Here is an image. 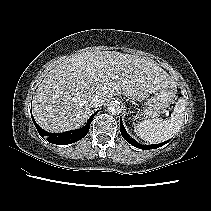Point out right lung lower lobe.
<instances>
[{
  "instance_id": "obj_1",
  "label": "right lung lower lobe",
  "mask_w": 211,
  "mask_h": 211,
  "mask_svg": "<svg viewBox=\"0 0 211 211\" xmlns=\"http://www.w3.org/2000/svg\"><path fill=\"white\" fill-rule=\"evenodd\" d=\"M97 114L95 112L92 114L85 126H83L80 129L64 132V133H49L45 130H43L34 120L32 116L33 123L40 134L41 137H46V140L50 143L57 144V145H66V144H71L74 143L80 139H82L89 131L90 124L94 116Z\"/></svg>"
}]
</instances>
